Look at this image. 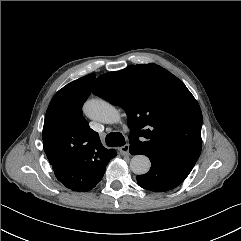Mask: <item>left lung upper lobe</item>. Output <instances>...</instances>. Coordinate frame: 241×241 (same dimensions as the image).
Returning <instances> with one entry per match:
<instances>
[{
	"instance_id": "1",
	"label": "left lung upper lobe",
	"mask_w": 241,
	"mask_h": 241,
	"mask_svg": "<svg viewBox=\"0 0 241 241\" xmlns=\"http://www.w3.org/2000/svg\"><path fill=\"white\" fill-rule=\"evenodd\" d=\"M93 93L125 110L130 146L192 170L202 148V113L176 76L156 64L131 65L101 75Z\"/></svg>"
}]
</instances>
